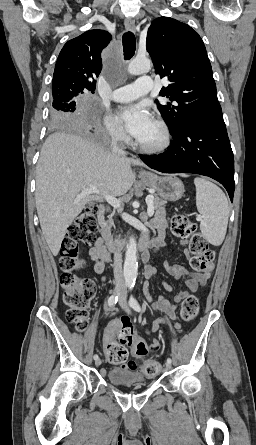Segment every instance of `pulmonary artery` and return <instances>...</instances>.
Returning <instances> with one entry per match:
<instances>
[{"label": "pulmonary artery", "instance_id": "e3ab8cb5", "mask_svg": "<svg viewBox=\"0 0 256 445\" xmlns=\"http://www.w3.org/2000/svg\"><path fill=\"white\" fill-rule=\"evenodd\" d=\"M152 88V78L150 76H143L138 78L133 84L114 90L111 99L115 102H130L150 92Z\"/></svg>", "mask_w": 256, "mask_h": 445}]
</instances>
